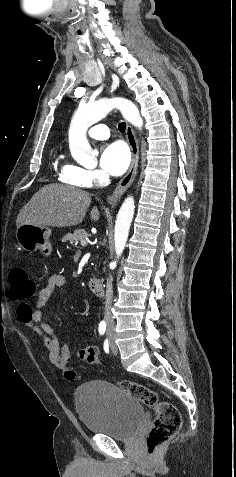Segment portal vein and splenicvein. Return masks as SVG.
Segmentation results:
<instances>
[{
    "label": "portal vein and splenic vein",
    "instance_id": "1",
    "mask_svg": "<svg viewBox=\"0 0 236 477\" xmlns=\"http://www.w3.org/2000/svg\"><path fill=\"white\" fill-rule=\"evenodd\" d=\"M81 245L86 246L87 245V240H81Z\"/></svg>",
    "mask_w": 236,
    "mask_h": 477
}]
</instances>
